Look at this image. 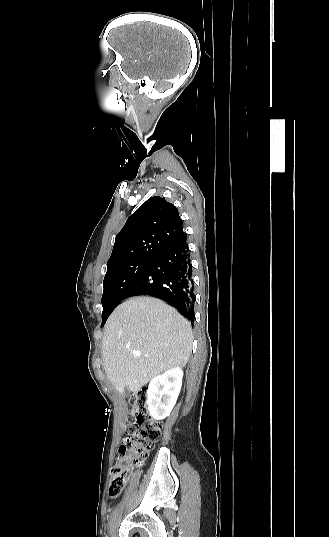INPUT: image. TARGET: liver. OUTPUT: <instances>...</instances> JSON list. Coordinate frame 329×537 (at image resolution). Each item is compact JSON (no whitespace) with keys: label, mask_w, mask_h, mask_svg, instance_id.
Instances as JSON below:
<instances>
[{"label":"liver","mask_w":329,"mask_h":537,"mask_svg":"<svg viewBox=\"0 0 329 537\" xmlns=\"http://www.w3.org/2000/svg\"><path fill=\"white\" fill-rule=\"evenodd\" d=\"M192 340L190 323L174 308L153 297L128 299L104 328L102 359L107 378L119 393L125 388L137 393L163 371L184 367Z\"/></svg>","instance_id":"obj_1"}]
</instances>
